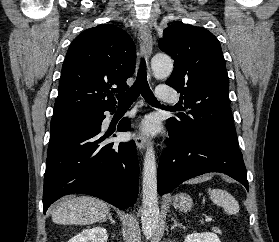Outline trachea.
I'll return each mask as SVG.
<instances>
[{"label": "trachea", "mask_w": 279, "mask_h": 242, "mask_svg": "<svg viewBox=\"0 0 279 242\" xmlns=\"http://www.w3.org/2000/svg\"><path fill=\"white\" fill-rule=\"evenodd\" d=\"M140 94L149 104L154 106L160 105L147 82V72L144 59L140 63L134 84L125 93L117 95L119 105H131Z\"/></svg>", "instance_id": "1"}]
</instances>
